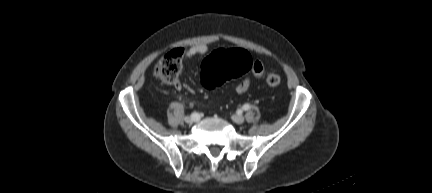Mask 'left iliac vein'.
Segmentation results:
<instances>
[{"mask_svg":"<svg viewBox=\"0 0 432 193\" xmlns=\"http://www.w3.org/2000/svg\"><path fill=\"white\" fill-rule=\"evenodd\" d=\"M232 119L237 124H242L244 122V120H245L244 117L242 115H240V114L234 115L232 117Z\"/></svg>","mask_w":432,"mask_h":193,"instance_id":"obj_1","label":"left iliac vein"}]
</instances>
